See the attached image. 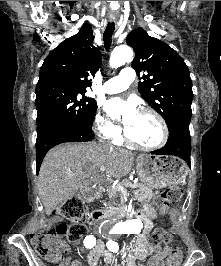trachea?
I'll return each instance as SVG.
<instances>
[{"instance_id":"trachea-1","label":"trachea","mask_w":221,"mask_h":266,"mask_svg":"<svg viewBox=\"0 0 221 266\" xmlns=\"http://www.w3.org/2000/svg\"><path fill=\"white\" fill-rule=\"evenodd\" d=\"M114 29H115V24L112 22L107 25L106 30L104 32L103 41H104V47L106 51H109L111 47L112 35L114 32Z\"/></svg>"}]
</instances>
